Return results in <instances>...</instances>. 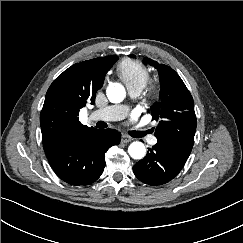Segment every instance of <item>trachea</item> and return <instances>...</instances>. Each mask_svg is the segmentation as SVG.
Listing matches in <instances>:
<instances>
[{"instance_id": "1", "label": "trachea", "mask_w": 243, "mask_h": 243, "mask_svg": "<svg viewBox=\"0 0 243 243\" xmlns=\"http://www.w3.org/2000/svg\"><path fill=\"white\" fill-rule=\"evenodd\" d=\"M131 135L136 138H141L145 135V132L142 131H132Z\"/></svg>"}]
</instances>
